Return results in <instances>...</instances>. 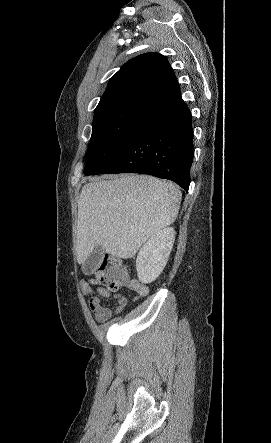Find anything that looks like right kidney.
Returning a JSON list of instances; mask_svg holds the SVG:
<instances>
[{
	"label": "right kidney",
	"mask_w": 271,
	"mask_h": 443,
	"mask_svg": "<svg viewBox=\"0 0 271 443\" xmlns=\"http://www.w3.org/2000/svg\"><path fill=\"white\" fill-rule=\"evenodd\" d=\"M175 233L174 227H164L140 247L136 269L141 283H151L163 271L175 241Z\"/></svg>",
	"instance_id": "ca27d5eb"
}]
</instances>
